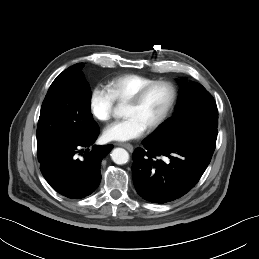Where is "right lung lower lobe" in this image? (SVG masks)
<instances>
[{"mask_svg":"<svg viewBox=\"0 0 259 259\" xmlns=\"http://www.w3.org/2000/svg\"><path fill=\"white\" fill-rule=\"evenodd\" d=\"M99 135L96 124L83 135L69 141L50 144L37 150L40 170L46 181L59 194L80 199L96 190L101 180V160L113 145L94 144Z\"/></svg>","mask_w":259,"mask_h":259,"instance_id":"right-lung-lower-lobe-1","label":"right lung lower lobe"}]
</instances>
